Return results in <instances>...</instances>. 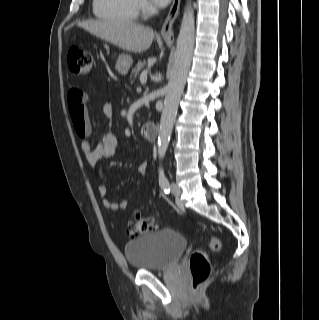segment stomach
I'll use <instances>...</instances> for the list:
<instances>
[{"label": "stomach", "instance_id": "stomach-1", "mask_svg": "<svg viewBox=\"0 0 319 320\" xmlns=\"http://www.w3.org/2000/svg\"><path fill=\"white\" fill-rule=\"evenodd\" d=\"M132 63L133 60L130 55L121 54L117 59L115 68L120 75L125 76L127 75Z\"/></svg>", "mask_w": 319, "mask_h": 320}]
</instances>
